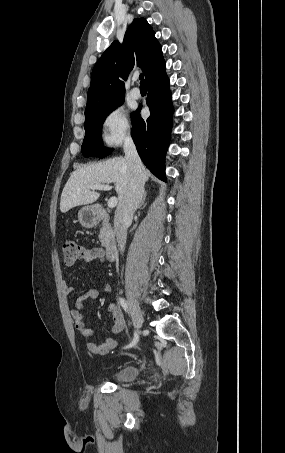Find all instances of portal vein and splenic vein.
<instances>
[{"label": "portal vein and splenic vein", "instance_id": "portal-vein-and-splenic-vein-1", "mask_svg": "<svg viewBox=\"0 0 285 453\" xmlns=\"http://www.w3.org/2000/svg\"><path fill=\"white\" fill-rule=\"evenodd\" d=\"M92 190H110L112 187L109 185L105 184H95L90 187ZM117 198L116 197H111L108 200V207L109 208H114L117 205Z\"/></svg>", "mask_w": 285, "mask_h": 453}]
</instances>
